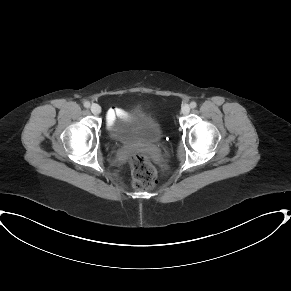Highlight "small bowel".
Instances as JSON below:
<instances>
[{"instance_id": "small-bowel-1", "label": "small bowel", "mask_w": 291, "mask_h": 291, "mask_svg": "<svg viewBox=\"0 0 291 291\" xmlns=\"http://www.w3.org/2000/svg\"><path fill=\"white\" fill-rule=\"evenodd\" d=\"M125 114V111L122 109H118V108H113L110 109L107 113V120L109 122L114 121L117 117H121L122 115Z\"/></svg>"}]
</instances>
